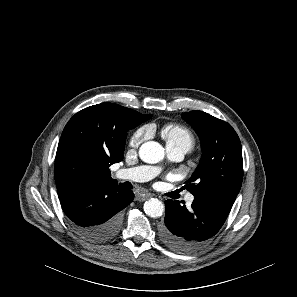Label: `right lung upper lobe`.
I'll list each match as a JSON object with an SVG mask.
<instances>
[{
    "label": "right lung upper lobe",
    "mask_w": 297,
    "mask_h": 297,
    "mask_svg": "<svg viewBox=\"0 0 297 297\" xmlns=\"http://www.w3.org/2000/svg\"><path fill=\"white\" fill-rule=\"evenodd\" d=\"M151 117L113 103L76 113L66 124L57 148L58 193L83 179L113 181L109 167L123 160L127 132Z\"/></svg>",
    "instance_id": "1"
}]
</instances>
